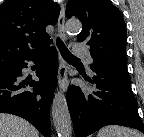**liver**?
<instances>
[{"instance_id":"liver-1","label":"liver","mask_w":144,"mask_h":137,"mask_svg":"<svg viewBox=\"0 0 144 137\" xmlns=\"http://www.w3.org/2000/svg\"><path fill=\"white\" fill-rule=\"evenodd\" d=\"M0 137H39V132L18 116L0 113Z\"/></svg>"}]
</instances>
